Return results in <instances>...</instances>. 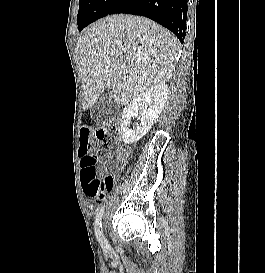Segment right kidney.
<instances>
[{
  "label": "right kidney",
  "mask_w": 265,
  "mask_h": 273,
  "mask_svg": "<svg viewBox=\"0 0 265 273\" xmlns=\"http://www.w3.org/2000/svg\"><path fill=\"white\" fill-rule=\"evenodd\" d=\"M169 88L167 84L154 85L140 93L123 110L121 138L125 144L137 142L151 129L159 117L167 100ZM140 111V124L136 129H130L131 118Z\"/></svg>",
  "instance_id": "right-kidney-1"
}]
</instances>
